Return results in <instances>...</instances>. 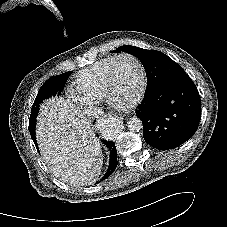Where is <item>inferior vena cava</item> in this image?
Instances as JSON below:
<instances>
[{"mask_svg":"<svg viewBox=\"0 0 227 227\" xmlns=\"http://www.w3.org/2000/svg\"><path fill=\"white\" fill-rule=\"evenodd\" d=\"M102 113V110L95 106H91L85 111V115H87L90 119L98 118L102 115Z\"/></svg>","mask_w":227,"mask_h":227,"instance_id":"obj_1","label":"inferior vena cava"}]
</instances>
